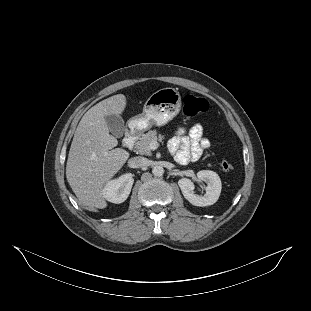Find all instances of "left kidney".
<instances>
[{"mask_svg": "<svg viewBox=\"0 0 311 311\" xmlns=\"http://www.w3.org/2000/svg\"><path fill=\"white\" fill-rule=\"evenodd\" d=\"M198 179L207 183L206 193L203 196L194 193V183L188 178H182L178 185L183 196L194 206H208L214 204L220 196L222 183L219 175L210 170H201L197 173Z\"/></svg>", "mask_w": 311, "mask_h": 311, "instance_id": "1", "label": "left kidney"}]
</instances>
